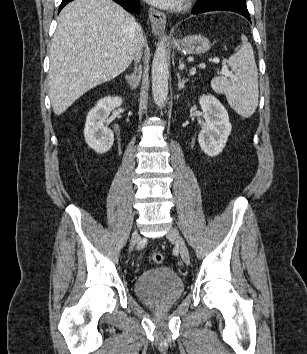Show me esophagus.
Segmentation results:
<instances>
[{
    "mask_svg": "<svg viewBox=\"0 0 307 354\" xmlns=\"http://www.w3.org/2000/svg\"><path fill=\"white\" fill-rule=\"evenodd\" d=\"M148 15L150 21L152 23V31L155 35H159V33L164 29L166 24V15L158 11L154 8H150L148 11Z\"/></svg>",
    "mask_w": 307,
    "mask_h": 354,
    "instance_id": "obj_1",
    "label": "esophagus"
}]
</instances>
